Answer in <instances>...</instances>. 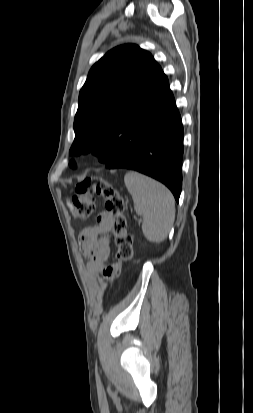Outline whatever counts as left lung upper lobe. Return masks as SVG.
I'll return each instance as SVG.
<instances>
[{"label": "left lung upper lobe", "instance_id": "obj_1", "mask_svg": "<svg viewBox=\"0 0 253 413\" xmlns=\"http://www.w3.org/2000/svg\"><path fill=\"white\" fill-rule=\"evenodd\" d=\"M165 78L152 55L127 44L107 52L80 90L70 154L92 152L107 165L120 149L122 128L139 114ZM69 165L76 167L74 160Z\"/></svg>", "mask_w": 253, "mask_h": 413}]
</instances>
